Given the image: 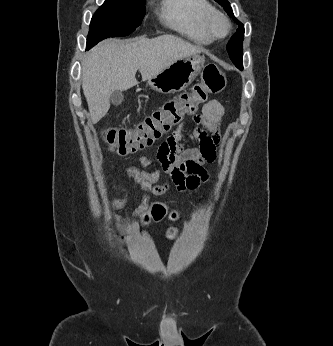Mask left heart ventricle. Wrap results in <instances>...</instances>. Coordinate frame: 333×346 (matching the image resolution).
Returning a JSON list of instances; mask_svg holds the SVG:
<instances>
[{
  "instance_id": "left-heart-ventricle-1",
  "label": "left heart ventricle",
  "mask_w": 333,
  "mask_h": 346,
  "mask_svg": "<svg viewBox=\"0 0 333 346\" xmlns=\"http://www.w3.org/2000/svg\"><path fill=\"white\" fill-rule=\"evenodd\" d=\"M214 26L218 34H222L225 30V25L222 21H216Z\"/></svg>"
}]
</instances>
